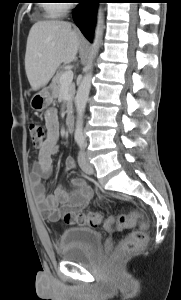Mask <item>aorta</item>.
Segmentation results:
<instances>
[{
    "instance_id": "1",
    "label": "aorta",
    "mask_w": 181,
    "mask_h": 300,
    "mask_svg": "<svg viewBox=\"0 0 181 300\" xmlns=\"http://www.w3.org/2000/svg\"><path fill=\"white\" fill-rule=\"evenodd\" d=\"M104 30V13L101 7L98 9L97 13V23L95 28L94 39L91 47V53L88 65L86 67V74L83 76L82 81L78 87L76 94V111H77V120L75 127V139H83V116L85 113L86 104L89 98V92L91 88L92 81V71H93V61L98 53V50L101 46V40Z\"/></svg>"
}]
</instances>
